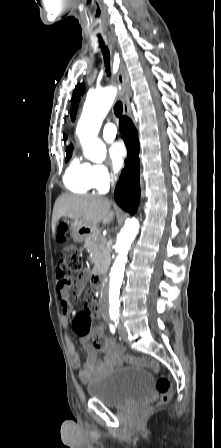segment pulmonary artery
<instances>
[{"instance_id": "e3ab8cb5", "label": "pulmonary artery", "mask_w": 221, "mask_h": 448, "mask_svg": "<svg viewBox=\"0 0 221 448\" xmlns=\"http://www.w3.org/2000/svg\"><path fill=\"white\" fill-rule=\"evenodd\" d=\"M102 135L103 138L106 141H112L115 139L116 135H117V128L114 124L112 123H108L104 126L103 130H102Z\"/></svg>"}]
</instances>
